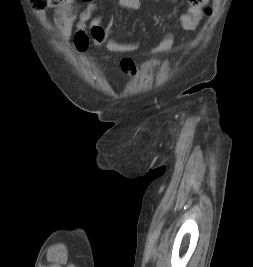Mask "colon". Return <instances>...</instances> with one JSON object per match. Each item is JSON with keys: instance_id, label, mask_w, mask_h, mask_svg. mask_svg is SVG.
<instances>
[{"instance_id": "5ec220e1", "label": "colon", "mask_w": 253, "mask_h": 267, "mask_svg": "<svg viewBox=\"0 0 253 267\" xmlns=\"http://www.w3.org/2000/svg\"><path fill=\"white\" fill-rule=\"evenodd\" d=\"M69 2L70 0H31L33 8L38 10H43L48 6L62 7L67 5ZM206 12L210 13L211 10L208 8L206 9ZM90 36L92 43L96 48L106 47L109 40V35L105 28L102 26L91 27ZM121 67L123 71L128 74H134L136 71V64L131 58H123L121 60Z\"/></svg>"}]
</instances>
